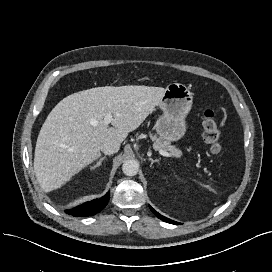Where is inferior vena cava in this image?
Wrapping results in <instances>:
<instances>
[{"label":"inferior vena cava","mask_w":272,"mask_h":272,"mask_svg":"<svg viewBox=\"0 0 272 272\" xmlns=\"http://www.w3.org/2000/svg\"><path fill=\"white\" fill-rule=\"evenodd\" d=\"M101 151L106 155H111L119 150V146L116 143L106 142L102 144Z\"/></svg>","instance_id":"inferior-vena-cava-1"}]
</instances>
